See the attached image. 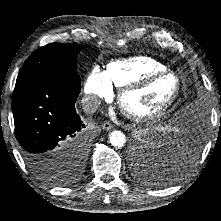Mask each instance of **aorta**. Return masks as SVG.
I'll list each match as a JSON object with an SVG mask.
<instances>
[{
	"instance_id": "1",
	"label": "aorta",
	"mask_w": 221,
	"mask_h": 221,
	"mask_svg": "<svg viewBox=\"0 0 221 221\" xmlns=\"http://www.w3.org/2000/svg\"><path fill=\"white\" fill-rule=\"evenodd\" d=\"M111 145L114 147H122L126 142L125 135L121 131H112L109 135Z\"/></svg>"
}]
</instances>
